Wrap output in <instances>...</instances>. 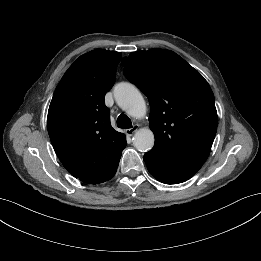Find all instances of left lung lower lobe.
Segmentation results:
<instances>
[{"label":"left lung lower lobe","instance_id":"obj_1","mask_svg":"<svg viewBox=\"0 0 261 261\" xmlns=\"http://www.w3.org/2000/svg\"><path fill=\"white\" fill-rule=\"evenodd\" d=\"M148 171L158 181L165 184H177L191 178L202 164L182 163L166 159L152 151L143 157Z\"/></svg>","mask_w":261,"mask_h":261}]
</instances>
